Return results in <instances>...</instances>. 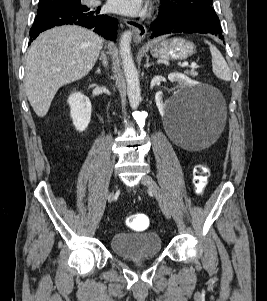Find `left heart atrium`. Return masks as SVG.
Returning a JSON list of instances; mask_svg holds the SVG:
<instances>
[{"mask_svg":"<svg viewBox=\"0 0 267 301\" xmlns=\"http://www.w3.org/2000/svg\"><path fill=\"white\" fill-rule=\"evenodd\" d=\"M108 6L114 12L136 15L142 10L143 0H109Z\"/></svg>","mask_w":267,"mask_h":301,"instance_id":"1","label":"left heart atrium"}]
</instances>
